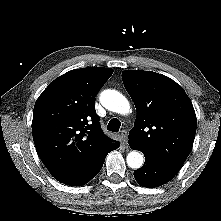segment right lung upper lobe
<instances>
[{
	"mask_svg": "<svg viewBox=\"0 0 221 221\" xmlns=\"http://www.w3.org/2000/svg\"><path fill=\"white\" fill-rule=\"evenodd\" d=\"M112 74L103 67L69 71L35 103L33 140L42 162L60 182L76 176L117 143L103 133L95 111V96Z\"/></svg>",
	"mask_w": 221,
	"mask_h": 221,
	"instance_id": "obj_1",
	"label": "right lung upper lobe"
}]
</instances>
